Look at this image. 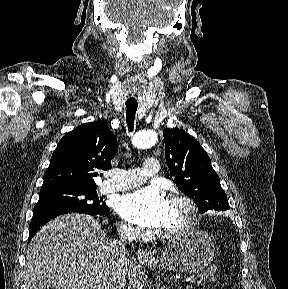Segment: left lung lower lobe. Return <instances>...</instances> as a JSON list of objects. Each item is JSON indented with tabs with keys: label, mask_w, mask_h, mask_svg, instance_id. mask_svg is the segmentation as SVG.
<instances>
[{
	"label": "left lung lower lobe",
	"mask_w": 288,
	"mask_h": 289,
	"mask_svg": "<svg viewBox=\"0 0 288 289\" xmlns=\"http://www.w3.org/2000/svg\"><path fill=\"white\" fill-rule=\"evenodd\" d=\"M160 245H161V243H158V244H157V246H160Z\"/></svg>",
	"instance_id": "1"
}]
</instances>
